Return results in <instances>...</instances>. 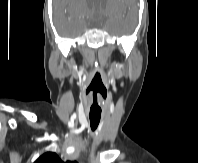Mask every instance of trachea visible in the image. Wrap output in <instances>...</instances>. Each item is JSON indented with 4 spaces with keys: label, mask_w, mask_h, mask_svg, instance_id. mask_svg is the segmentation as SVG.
Returning <instances> with one entry per match:
<instances>
[{
    "label": "trachea",
    "mask_w": 198,
    "mask_h": 163,
    "mask_svg": "<svg viewBox=\"0 0 198 163\" xmlns=\"http://www.w3.org/2000/svg\"><path fill=\"white\" fill-rule=\"evenodd\" d=\"M96 105H97V100H96ZM99 122H100V117L90 116V126L93 131L98 127Z\"/></svg>",
    "instance_id": "trachea-1"
}]
</instances>
